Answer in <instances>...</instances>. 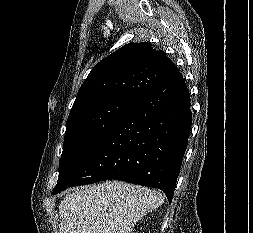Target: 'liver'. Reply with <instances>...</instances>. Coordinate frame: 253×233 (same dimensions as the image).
<instances>
[{"label": "liver", "mask_w": 253, "mask_h": 233, "mask_svg": "<svg viewBox=\"0 0 253 233\" xmlns=\"http://www.w3.org/2000/svg\"><path fill=\"white\" fill-rule=\"evenodd\" d=\"M164 202L159 190L112 181L68 193L59 205V233H131Z\"/></svg>", "instance_id": "1"}]
</instances>
